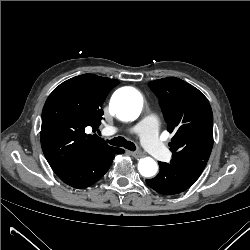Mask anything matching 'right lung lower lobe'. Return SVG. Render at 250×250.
Here are the masks:
<instances>
[{"instance_id":"obj_1","label":"right lung lower lobe","mask_w":250,"mask_h":250,"mask_svg":"<svg viewBox=\"0 0 250 250\" xmlns=\"http://www.w3.org/2000/svg\"><path fill=\"white\" fill-rule=\"evenodd\" d=\"M124 150L111 147L98 151L84 163L70 168L54 170L55 174L66 184L83 189L93 185L110 168L115 154H123Z\"/></svg>"}]
</instances>
